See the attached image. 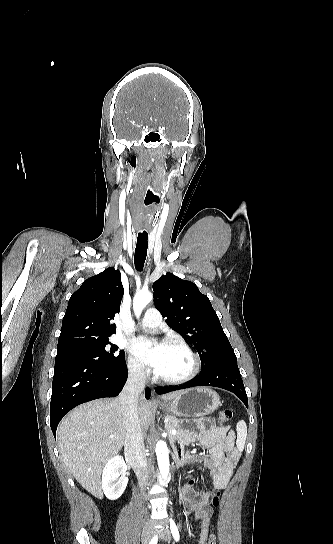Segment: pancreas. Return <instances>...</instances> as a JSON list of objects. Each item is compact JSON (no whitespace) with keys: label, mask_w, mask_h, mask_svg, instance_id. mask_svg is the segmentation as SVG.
<instances>
[{"label":"pancreas","mask_w":333,"mask_h":544,"mask_svg":"<svg viewBox=\"0 0 333 544\" xmlns=\"http://www.w3.org/2000/svg\"><path fill=\"white\" fill-rule=\"evenodd\" d=\"M165 420V428L169 432V436L171 438H177L179 434L183 433V430L181 429L179 424V420L176 417L168 415L165 417ZM172 430H177V435L171 434Z\"/></svg>","instance_id":"1"}]
</instances>
